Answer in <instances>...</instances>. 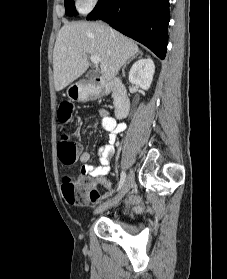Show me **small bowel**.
<instances>
[{"label": "small bowel", "instance_id": "1", "mask_svg": "<svg viewBox=\"0 0 227 279\" xmlns=\"http://www.w3.org/2000/svg\"><path fill=\"white\" fill-rule=\"evenodd\" d=\"M98 114L100 116V122L103 128L109 131V135L107 136V142L103 146L98 149V164H91L90 161V153L88 151H81L79 156V161L82 163L81 175L84 177L94 178L95 182L93 186L102 185L107 189L111 190L110 183L106 180V175L109 173V164L110 160L114 154V145L117 139L116 133L121 132L125 129V125L121 123H117L112 117L109 116L108 111L105 109L98 110ZM85 122L88 121V117L84 119ZM65 199L69 204H76L75 195L72 191L64 190ZM138 197L131 196L126 202L133 203L137 202ZM91 202L93 204L100 202V195L92 199ZM142 206L134 207L135 212H142Z\"/></svg>", "mask_w": 227, "mask_h": 279}]
</instances>
